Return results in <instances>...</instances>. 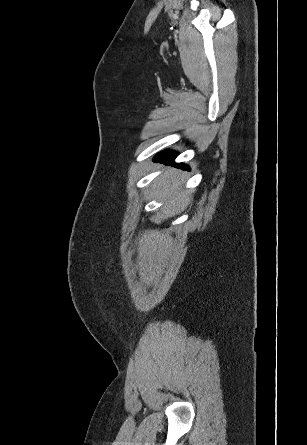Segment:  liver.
<instances>
[{"label":"liver","instance_id":"1","mask_svg":"<svg viewBox=\"0 0 307 445\" xmlns=\"http://www.w3.org/2000/svg\"><path fill=\"white\" fill-rule=\"evenodd\" d=\"M182 182V174H178V172H173V170H166V172H163L161 174L160 178V186L164 192V196H169V194H174L176 198L180 196L181 192H184V190H181L179 186H181ZM181 198H184V196H181Z\"/></svg>","mask_w":307,"mask_h":445}]
</instances>
